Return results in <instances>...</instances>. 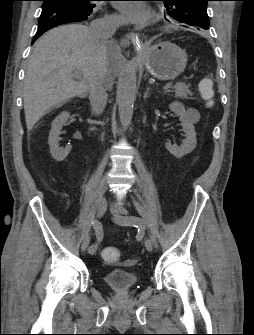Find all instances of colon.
Wrapping results in <instances>:
<instances>
[{
    "instance_id": "colon-1",
    "label": "colon",
    "mask_w": 254,
    "mask_h": 335,
    "mask_svg": "<svg viewBox=\"0 0 254 335\" xmlns=\"http://www.w3.org/2000/svg\"><path fill=\"white\" fill-rule=\"evenodd\" d=\"M197 89L202 99L208 106L213 105V81L210 78H202L197 83ZM120 251L115 247H106L102 251L103 259L108 263H116L120 259Z\"/></svg>"
}]
</instances>
